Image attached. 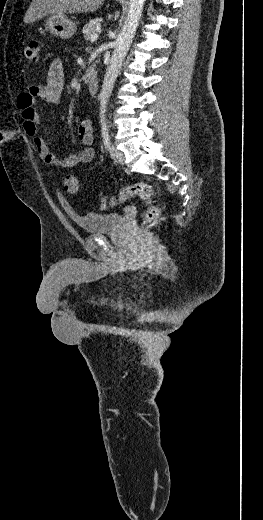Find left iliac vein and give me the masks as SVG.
<instances>
[{
  "instance_id": "left-iliac-vein-1",
  "label": "left iliac vein",
  "mask_w": 263,
  "mask_h": 520,
  "mask_svg": "<svg viewBox=\"0 0 263 520\" xmlns=\"http://www.w3.org/2000/svg\"><path fill=\"white\" fill-rule=\"evenodd\" d=\"M109 151H110V156H111V158H112L115 162L120 163V164H123V163H124V160H125V159H124V155H123V153L120 152L119 150H117V149L115 148L114 145H110V149H109Z\"/></svg>"
}]
</instances>
